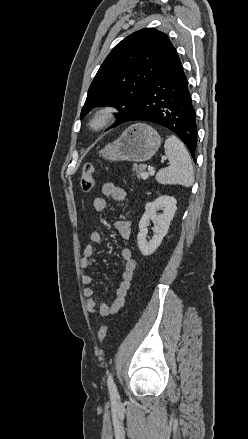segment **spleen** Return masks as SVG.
<instances>
[{"label":"spleen","mask_w":248,"mask_h":439,"mask_svg":"<svg viewBox=\"0 0 248 439\" xmlns=\"http://www.w3.org/2000/svg\"><path fill=\"white\" fill-rule=\"evenodd\" d=\"M164 148L169 166L156 174V180L161 184L191 187L194 183L193 167L184 144L177 137L170 136L166 139Z\"/></svg>","instance_id":"1"}]
</instances>
